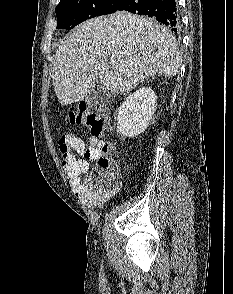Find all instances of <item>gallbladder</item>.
Returning a JSON list of instances; mask_svg holds the SVG:
<instances>
[{
	"label": "gallbladder",
	"instance_id": "1",
	"mask_svg": "<svg viewBox=\"0 0 233 294\" xmlns=\"http://www.w3.org/2000/svg\"><path fill=\"white\" fill-rule=\"evenodd\" d=\"M110 100L109 91L100 83L96 82L85 98L86 103L92 110H105Z\"/></svg>",
	"mask_w": 233,
	"mask_h": 294
}]
</instances>
